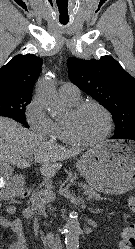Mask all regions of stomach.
<instances>
[{
  "label": "stomach",
  "instance_id": "0dacf381",
  "mask_svg": "<svg viewBox=\"0 0 135 249\" xmlns=\"http://www.w3.org/2000/svg\"><path fill=\"white\" fill-rule=\"evenodd\" d=\"M77 166L95 190L124 194L135 188V143L105 141L83 154Z\"/></svg>",
  "mask_w": 135,
  "mask_h": 249
}]
</instances>
